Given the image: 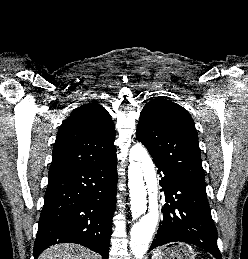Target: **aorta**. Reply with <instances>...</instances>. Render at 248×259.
Masks as SVG:
<instances>
[{
  "label": "aorta",
  "mask_w": 248,
  "mask_h": 259,
  "mask_svg": "<svg viewBox=\"0 0 248 259\" xmlns=\"http://www.w3.org/2000/svg\"><path fill=\"white\" fill-rule=\"evenodd\" d=\"M128 184L132 217L130 252L143 259L159 220L158 187L154 164L144 146L136 143L130 149Z\"/></svg>",
  "instance_id": "1"
}]
</instances>
